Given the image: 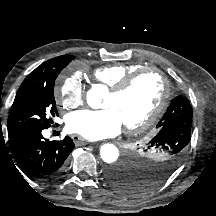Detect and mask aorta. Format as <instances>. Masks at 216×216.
I'll use <instances>...</instances> for the list:
<instances>
[{"mask_svg":"<svg viewBox=\"0 0 216 216\" xmlns=\"http://www.w3.org/2000/svg\"><path fill=\"white\" fill-rule=\"evenodd\" d=\"M103 95L104 87L101 85L94 86L90 91L87 92L86 99L88 105L93 109L99 108ZM100 156L105 163H115L119 157V150L115 145L107 143L101 146Z\"/></svg>","mask_w":216,"mask_h":216,"instance_id":"1","label":"aorta"}]
</instances>
